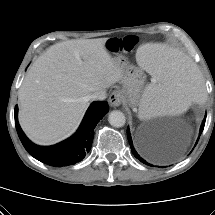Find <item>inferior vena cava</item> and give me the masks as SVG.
<instances>
[{
	"mask_svg": "<svg viewBox=\"0 0 215 215\" xmlns=\"http://www.w3.org/2000/svg\"><path fill=\"white\" fill-rule=\"evenodd\" d=\"M106 91L105 90H100V91H97V92H94L91 96H90V99L92 100H104L106 98Z\"/></svg>",
	"mask_w": 215,
	"mask_h": 215,
	"instance_id": "obj_1",
	"label": "inferior vena cava"
}]
</instances>
